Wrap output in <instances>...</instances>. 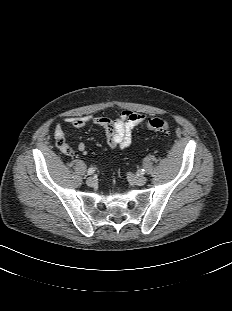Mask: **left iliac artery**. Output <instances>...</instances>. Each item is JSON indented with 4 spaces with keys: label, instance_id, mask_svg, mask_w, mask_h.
Masks as SVG:
<instances>
[{
    "label": "left iliac artery",
    "instance_id": "44dca946",
    "mask_svg": "<svg viewBox=\"0 0 232 311\" xmlns=\"http://www.w3.org/2000/svg\"><path fill=\"white\" fill-rule=\"evenodd\" d=\"M139 173H140V174H145V170H144V169H141V170L139 171Z\"/></svg>",
    "mask_w": 232,
    "mask_h": 311
}]
</instances>
